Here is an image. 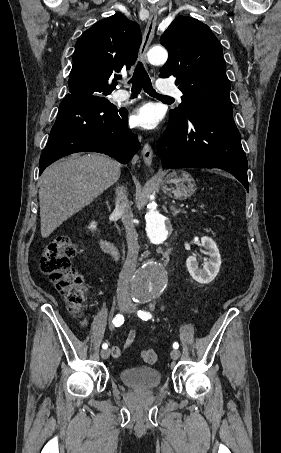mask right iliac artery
<instances>
[{
    "label": "right iliac artery",
    "instance_id": "obj_1",
    "mask_svg": "<svg viewBox=\"0 0 281 453\" xmlns=\"http://www.w3.org/2000/svg\"><path fill=\"white\" fill-rule=\"evenodd\" d=\"M112 322H113V324H114L116 327L121 326V325L123 324V322H124V317H123V315H120V314L116 315V317L113 319ZM102 347H103V349H107L108 345H107L106 343H104V344L102 345Z\"/></svg>",
    "mask_w": 281,
    "mask_h": 453
}]
</instances>
